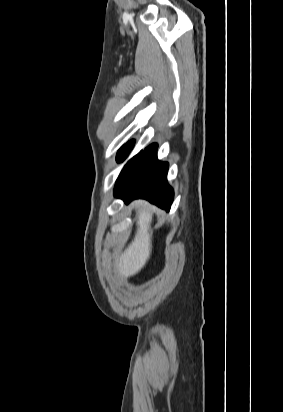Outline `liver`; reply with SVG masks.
I'll return each instance as SVG.
<instances>
[{
	"label": "liver",
	"mask_w": 283,
	"mask_h": 412,
	"mask_svg": "<svg viewBox=\"0 0 283 412\" xmlns=\"http://www.w3.org/2000/svg\"><path fill=\"white\" fill-rule=\"evenodd\" d=\"M137 208V231L134 240L119 257L117 270L120 276L127 278L138 273L148 261L151 250V222L153 211L142 201L134 203Z\"/></svg>",
	"instance_id": "1"
}]
</instances>
